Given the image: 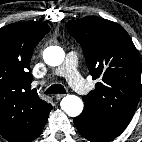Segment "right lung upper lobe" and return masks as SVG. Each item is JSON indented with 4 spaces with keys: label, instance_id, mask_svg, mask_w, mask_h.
Wrapping results in <instances>:
<instances>
[{
    "label": "right lung upper lobe",
    "instance_id": "right-lung-upper-lobe-1",
    "mask_svg": "<svg viewBox=\"0 0 142 142\" xmlns=\"http://www.w3.org/2000/svg\"><path fill=\"white\" fill-rule=\"evenodd\" d=\"M49 30L34 21L0 28V134L10 142L33 140L51 111L31 89L29 72L33 50Z\"/></svg>",
    "mask_w": 142,
    "mask_h": 142
}]
</instances>
